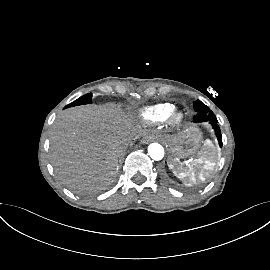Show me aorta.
I'll return each mask as SVG.
<instances>
[{
    "label": "aorta",
    "instance_id": "762f6f07",
    "mask_svg": "<svg viewBox=\"0 0 270 270\" xmlns=\"http://www.w3.org/2000/svg\"><path fill=\"white\" fill-rule=\"evenodd\" d=\"M148 153L150 157L155 161H159L164 157V149L158 143H151L148 146Z\"/></svg>",
    "mask_w": 270,
    "mask_h": 270
}]
</instances>
